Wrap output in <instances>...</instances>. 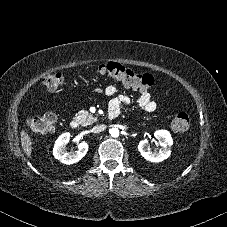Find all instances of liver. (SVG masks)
Wrapping results in <instances>:
<instances>
[{
    "label": "liver",
    "mask_w": 227,
    "mask_h": 227,
    "mask_svg": "<svg viewBox=\"0 0 227 227\" xmlns=\"http://www.w3.org/2000/svg\"><path fill=\"white\" fill-rule=\"evenodd\" d=\"M20 139L23 151L25 152L27 157H31L32 142L30 136L24 130H22Z\"/></svg>",
    "instance_id": "liver-1"
}]
</instances>
